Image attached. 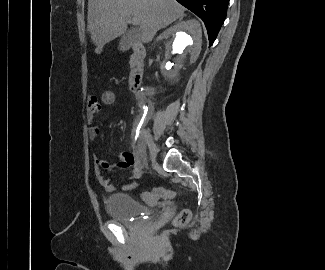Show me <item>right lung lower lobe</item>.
Wrapping results in <instances>:
<instances>
[{
    "label": "right lung lower lobe",
    "mask_w": 325,
    "mask_h": 270,
    "mask_svg": "<svg viewBox=\"0 0 325 270\" xmlns=\"http://www.w3.org/2000/svg\"><path fill=\"white\" fill-rule=\"evenodd\" d=\"M177 1L203 20L208 32L209 46H211L226 18L229 0Z\"/></svg>",
    "instance_id": "1"
}]
</instances>
